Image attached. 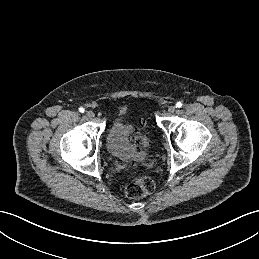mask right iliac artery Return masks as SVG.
Returning <instances> with one entry per match:
<instances>
[{"mask_svg":"<svg viewBox=\"0 0 259 259\" xmlns=\"http://www.w3.org/2000/svg\"><path fill=\"white\" fill-rule=\"evenodd\" d=\"M79 111H80L81 113H84V112H85V109H84L83 107H80V108H79Z\"/></svg>","mask_w":259,"mask_h":259,"instance_id":"1","label":"right iliac artery"}]
</instances>
